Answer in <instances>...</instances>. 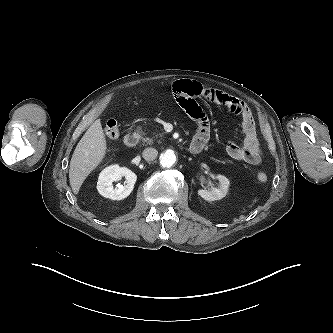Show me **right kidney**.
<instances>
[{
	"label": "right kidney",
	"instance_id": "right-kidney-1",
	"mask_svg": "<svg viewBox=\"0 0 333 333\" xmlns=\"http://www.w3.org/2000/svg\"><path fill=\"white\" fill-rule=\"evenodd\" d=\"M122 177L126 179L124 186L118 185L113 187L112 183L119 181ZM136 180V174L130 169L120 167L119 165H111L100 173L97 182V190L105 198L122 200L132 192Z\"/></svg>",
	"mask_w": 333,
	"mask_h": 333
}]
</instances>
